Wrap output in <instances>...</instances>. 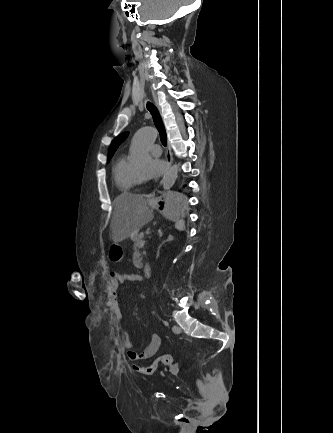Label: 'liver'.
I'll return each instance as SVG.
<instances>
[{
    "instance_id": "liver-1",
    "label": "liver",
    "mask_w": 333,
    "mask_h": 433,
    "mask_svg": "<svg viewBox=\"0 0 333 433\" xmlns=\"http://www.w3.org/2000/svg\"><path fill=\"white\" fill-rule=\"evenodd\" d=\"M114 212L111 219L112 241L122 242L154 218L153 211L147 206L143 195L124 192L113 202Z\"/></svg>"
}]
</instances>
